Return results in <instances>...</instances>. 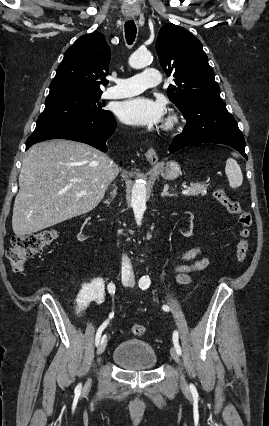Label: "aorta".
I'll list each match as a JSON object with an SVG mask.
<instances>
[{
  "mask_svg": "<svg viewBox=\"0 0 269 426\" xmlns=\"http://www.w3.org/2000/svg\"><path fill=\"white\" fill-rule=\"evenodd\" d=\"M152 60L149 51H137L129 58V65L139 69L147 66ZM146 185L142 180H137L132 188L131 206L138 226L141 225L143 214L146 209Z\"/></svg>",
  "mask_w": 269,
  "mask_h": 426,
  "instance_id": "762f6f07",
  "label": "aorta"
}]
</instances>
